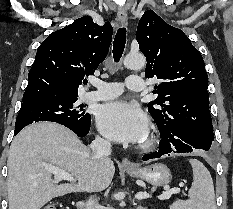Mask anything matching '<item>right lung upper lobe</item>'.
Returning <instances> with one entry per match:
<instances>
[{"mask_svg":"<svg viewBox=\"0 0 233 209\" xmlns=\"http://www.w3.org/2000/svg\"><path fill=\"white\" fill-rule=\"evenodd\" d=\"M112 33L110 23L99 26L84 16L49 35L37 50L23 103L77 98L85 76L93 75L106 58Z\"/></svg>","mask_w":233,"mask_h":209,"instance_id":"1","label":"right lung upper lobe"}]
</instances>
